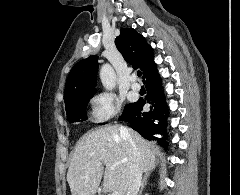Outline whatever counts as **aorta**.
Returning a JSON list of instances; mask_svg holds the SVG:
<instances>
[{
  "instance_id": "762f6f07",
  "label": "aorta",
  "mask_w": 240,
  "mask_h": 195,
  "mask_svg": "<svg viewBox=\"0 0 240 195\" xmlns=\"http://www.w3.org/2000/svg\"><path fill=\"white\" fill-rule=\"evenodd\" d=\"M99 76L105 90L112 92L117 84V76L112 66L110 64H103L100 68Z\"/></svg>"
}]
</instances>
